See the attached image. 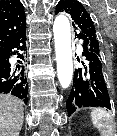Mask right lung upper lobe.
Listing matches in <instances>:
<instances>
[{"mask_svg": "<svg viewBox=\"0 0 117 136\" xmlns=\"http://www.w3.org/2000/svg\"><path fill=\"white\" fill-rule=\"evenodd\" d=\"M24 7L17 0L0 1V48L25 25Z\"/></svg>", "mask_w": 117, "mask_h": 136, "instance_id": "cb5924a9", "label": "right lung upper lobe"}]
</instances>
